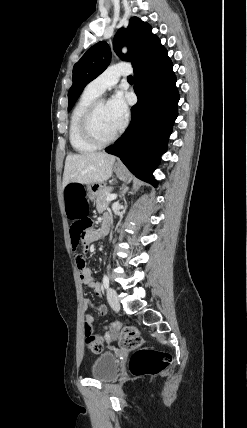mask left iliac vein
<instances>
[{"label": "left iliac vein", "mask_w": 247, "mask_h": 428, "mask_svg": "<svg viewBox=\"0 0 247 428\" xmlns=\"http://www.w3.org/2000/svg\"><path fill=\"white\" fill-rule=\"evenodd\" d=\"M107 299L111 308L115 311L120 309V303L116 291L113 288H108Z\"/></svg>", "instance_id": "left-iliac-vein-1"}]
</instances>
